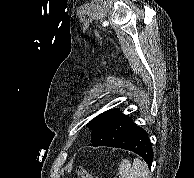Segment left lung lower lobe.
I'll use <instances>...</instances> for the list:
<instances>
[{
    "instance_id": "1",
    "label": "left lung lower lobe",
    "mask_w": 194,
    "mask_h": 178,
    "mask_svg": "<svg viewBox=\"0 0 194 178\" xmlns=\"http://www.w3.org/2000/svg\"><path fill=\"white\" fill-rule=\"evenodd\" d=\"M91 146H109L132 151L151 167L153 149L146 131L132 122L119 109L102 117L91 132Z\"/></svg>"
}]
</instances>
